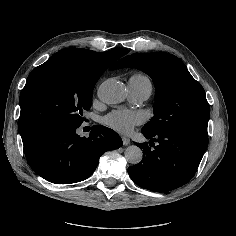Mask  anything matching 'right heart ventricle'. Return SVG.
<instances>
[{"label":"right heart ventricle","mask_w":236,"mask_h":236,"mask_svg":"<svg viewBox=\"0 0 236 236\" xmlns=\"http://www.w3.org/2000/svg\"><path fill=\"white\" fill-rule=\"evenodd\" d=\"M129 82L134 87L146 89L150 93L152 91V82L150 78L145 74L142 73L134 74L130 77Z\"/></svg>","instance_id":"1"}]
</instances>
